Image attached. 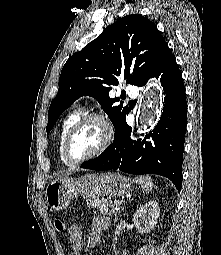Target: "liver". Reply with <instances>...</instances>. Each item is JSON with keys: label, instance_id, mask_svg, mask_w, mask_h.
I'll return each instance as SVG.
<instances>
[{"label": "liver", "instance_id": "1", "mask_svg": "<svg viewBox=\"0 0 221 255\" xmlns=\"http://www.w3.org/2000/svg\"><path fill=\"white\" fill-rule=\"evenodd\" d=\"M64 174H69L68 172H62V175H64Z\"/></svg>", "mask_w": 221, "mask_h": 255}]
</instances>
